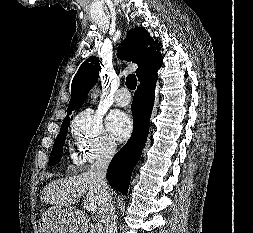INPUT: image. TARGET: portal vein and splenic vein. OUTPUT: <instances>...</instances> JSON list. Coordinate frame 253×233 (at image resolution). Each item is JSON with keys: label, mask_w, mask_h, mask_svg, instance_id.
<instances>
[{"label": "portal vein and splenic vein", "mask_w": 253, "mask_h": 233, "mask_svg": "<svg viewBox=\"0 0 253 233\" xmlns=\"http://www.w3.org/2000/svg\"><path fill=\"white\" fill-rule=\"evenodd\" d=\"M74 197H75V196H74ZM89 209H90L92 212H95V211H96V209H97L96 204H94V203H90V205H89Z\"/></svg>", "instance_id": "18ae733b"}]
</instances>
